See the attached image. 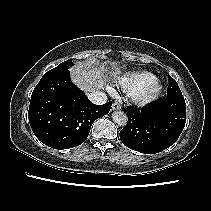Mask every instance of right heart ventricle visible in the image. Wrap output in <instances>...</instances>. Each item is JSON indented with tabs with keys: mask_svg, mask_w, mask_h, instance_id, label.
<instances>
[{
	"mask_svg": "<svg viewBox=\"0 0 211 211\" xmlns=\"http://www.w3.org/2000/svg\"><path fill=\"white\" fill-rule=\"evenodd\" d=\"M157 77L148 71L130 72L122 75L117 83L128 94H134Z\"/></svg>",
	"mask_w": 211,
	"mask_h": 211,
	"instance_id": "obj_1",
	"label": "right heart ventricle"
}]
</instances>
